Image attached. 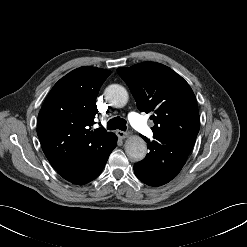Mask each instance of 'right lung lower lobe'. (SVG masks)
<instances>
[{
    "mask_svg": "<svg viewBox=\"0 0 247 247\" xmlns=\"http://www.w3.org/2000/svg\"><path fill=\"white\" fill-rule=\"evenodd\" d=\"M117 145L114 134L102 147L75 159L56 171L67 181L83 185L94 180L103 170L108 157Z\"/></svg>",
    "mask_w": 247,
    "mask_h": 247,
    "instance_id": "right-lung-lower-lobe-1",
    "label": "right lung lower lobe"
}]
</instances>
